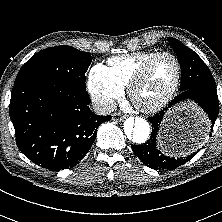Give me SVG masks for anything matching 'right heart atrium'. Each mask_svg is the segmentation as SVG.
I'll return each instance as SVG.
<instances>
[{"instance_id":"obj_1","label":"right heart atrium","mask_w":222,"mask_h":222,"mask_svg":"<svg viewBox=\"0 0 222 222\" xmlns=\"http://www.w3.org/2000/svg\"><path fill=\"white\" fill-rule=\"evenodd\" d=\"M88 90L92 100L102 112H108L114 106L115 100L124 94V88L111 77L107 67L97 64L89 73Z\"/></svg>"}]
</instances>
